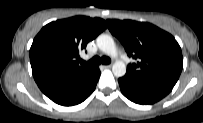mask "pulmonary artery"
<instances>
[{
	"mask_svg": "<svg viewBox=\"0 0 203 123\" xmlns=\"http://www.w3.org/2000/svg\"><path fill=\"white\" fill-rule=\"evenodd\" d=\"M121 58H122L124 61H127V58H126L123 54H121Z\"/></svg>",
	"mask_w": 203,
	"mask_h": 123,
	"instance_id": "pulmonary-artery-1",
	"label": "pulmonary artery"
}]
</instances>
